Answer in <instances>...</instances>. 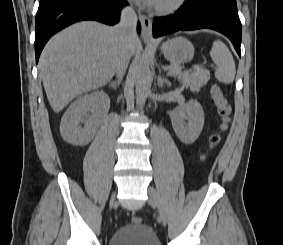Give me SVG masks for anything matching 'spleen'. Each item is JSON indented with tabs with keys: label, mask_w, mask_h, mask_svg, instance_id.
Segmentation results:
<instances>
[{
	"label": "spleen",
	"mask_w": 283,
	"mask_h": 245,
	"mask_svg": "<svg viewBox=\"0 0 283 245\" xmlns=\"http://www.w3.org/2000/svg\"><path fill=\"white\" fill-rule=\"evenodd\" d=\"M210 56L217 66L215 71L216 79L225 84L233 83L236 68L232 54L227 46L222 41H214L210 51Z\"/></svg>",
	"instance_id": "1"
}]
</instances>
